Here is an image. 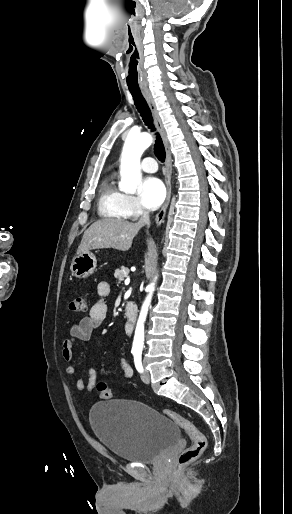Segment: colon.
Segmentation results:
<instances>
[{"label": "colon", "instance_id": "obj_1", "mask_svg": "<svg viewBox=\"0 0 292 514\" xmlns=\"http://www.w3.org/2000/svg\"><path fill=\"white\" fill-rule=\"evenodd\" d=\"M86 310L87 302L83 297L74 298L68 304V311L71 313L85 312ZM96 388L101 399L109 400L112 398V391L104 381H100ZM163 414L182 428L192 440V444L180 452L179 463L186 464L198 459L207 447L204 433L192 421L177 411L166 409L163 410Z\"/></svg>", "mask_w": 292, "mask_h": 514}]
</instances>
